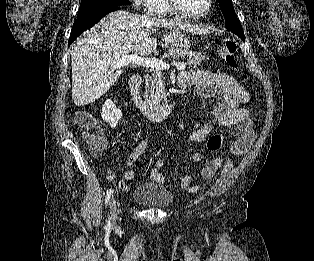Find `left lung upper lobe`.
Listing matches in <instances>:
<instances>
[{"label": "left lung upper lobe", "instance_id": "5c2ea615", "mask_svg": "<svg viewBox=\"0 0 314 261\" xmlns=\"http://www.w3.org/2000/svg\"><path fill=\"white\" fill-rule=\"evenodd\" d=\"M222 13L225 17L226 28L238 35L240 38L244 37L243 28L235 14V10L232 4V0H217Z\"/></svg>", "mask_w": 314, "mask_h": 261}]
</instances>
